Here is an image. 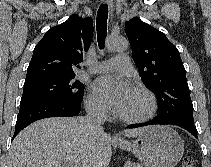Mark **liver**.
I'll return each instance as SVG.
<instances>
[{
  "mask_svg": "<svg viewBox=\"0 0 211 167\" xmlns=\"http://www.w3.org/2000/svg\"><path fill=\"white\" fill-rule=\"evenodd\" d=\"M147 128L126 130L124 135L136 137ZM111 156L107 134L89 133L85 118H46L17 135L11 146L9 167H107Z\"/></svg>",
  "mask_w": 211,
  "mask_h": 167,
  "instance_id": "6515ba94",
  "label": "liver"
}]
</instances>
